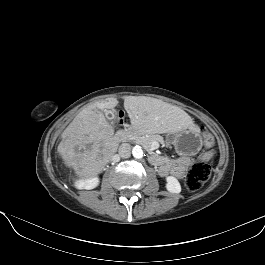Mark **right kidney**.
Listing matches in <instances>:
<instances>
[{"label": "right kidney", "mask_w": 265, "mask_h": 265, "mask_svg": "<svg viewBox=\"0 0 265 265\" xmlns=\"http://www.w3.org/2000/svg\"><path fill=\"white\" fill-rule=\"evenodd\" d=\"M98 184H99V178L97 176H93L86 180L77 181L76 188L91 190V189L96 188Z\"/></svg>", "instance_id": "1"}]
</instances>
